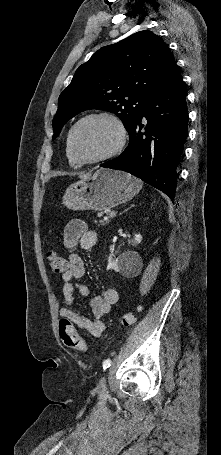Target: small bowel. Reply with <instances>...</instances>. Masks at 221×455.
I'll return each mask as SVG.
<instances>
[{
    "mask_svg": "<svg viewBox=\"0 0 221 455\" xmlns=\"http://www.w3.org/2000/svg\"><path fill=\"white\" fill-rule=\"evenodd\" d=\"M63 242L69 255L68 269L62 274V293L65 300V306L59 311L60 317L67 318L80 329L99 338L106 329L102 317L109 313L111 306L118 300L117 289L114 287H107L102 295L92 298L90 302L91 318L85 317L72 308L76 291L83 296L89 294V288L80 282V279L85 274V264L83 259L74 252V249L77 246H80L85 250L93 248L98 242V236L96 232L89 230L84 222L73 220L69 222L64 229Z\"/></svg>",
    "mask_w": 221,
    "mask_h": 455,
    "instance_id": "small-bowel-1",
    "label": "small bowel"
}]
</instances>
